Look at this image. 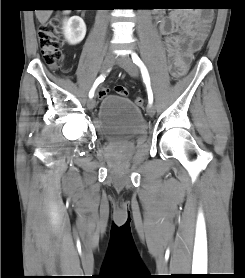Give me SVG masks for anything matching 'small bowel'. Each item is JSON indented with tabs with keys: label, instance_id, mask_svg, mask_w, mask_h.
Here are the masks:
<instances>
[{
	"label": "small bowel",
	"instance_id": "c3829d8e",
	"mask_svg": "<svg viewBox=\"0 0 245 278\" xmlns=\"http://www.w3.org/2000/svg\"><path fill=\"white\" fill-rule=\"evenodd\" d=\"M207 15L198 10L189 13L176 11L158 21L157 29L163 37L171 66L181 73L206 41L209 30H205L203 24ZM105 96L107 94L100 97Z\"/></svg>",
	"mask_w": 245,
	"mask_h": 278
}]
</instances>
